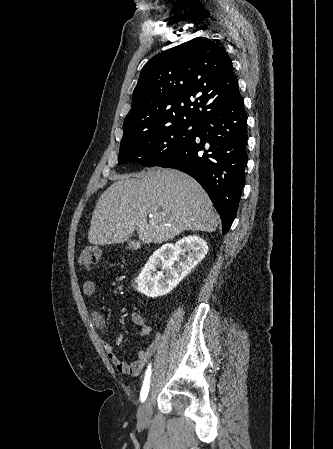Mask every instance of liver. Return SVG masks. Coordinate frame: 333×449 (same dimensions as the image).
I'll return each mask as SVG.
<instances>
[{"instance_id":"6515ba94","label":"liver","mask_w":333,"mask_h":449,"mask_svg":"<svg viewBox=\"0 0 333 449\" xmlns=\"http://www.w3.org/2000/svg\"><path fill=\"white\" fill-rule=\"evenodd\" d=\"M154 217L147 221V216ZM213 205L201 185L175 169H148L118 178L94 208L88 240L93 245L127 241L136 230L144 244L162 243L185 230L214 232Z\"/></svg>"}]
</instances>
